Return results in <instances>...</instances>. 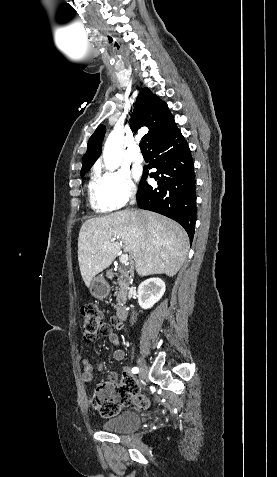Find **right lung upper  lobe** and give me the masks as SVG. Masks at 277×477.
<instances>
[{
  "instance_id": "1",
  "label": "right lung upper lobe",
  "mask_w": 277,
  "mask_h": 477,
  "mask_svg": "<svg viewBox=\"0 0 277 477\" xmlns=\"http://www.w3.org/2000/svg\"><path fill=\"white\" fill-rule=\"evenodd\" d=\"M131 126L135 132L143 126L148 127L149 131L143 137L148 141V148L163 140L177 128L167 104L161 102L147 87L141 89L137 97ZM105 131V126L100 125L90 137L87 151L83 156L81 170L90 169L100 156Z\"/></svg>"
}]
</instances>
